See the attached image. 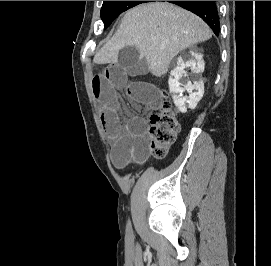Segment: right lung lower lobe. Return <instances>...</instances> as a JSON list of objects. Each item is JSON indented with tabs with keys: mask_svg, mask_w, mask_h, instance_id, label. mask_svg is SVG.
Segmentation results:
<instances>
[{
	"mask_svg": "<svg viewBox=\"0 0 271 266\" xmlns=\"http://www.w3.org/2000/svg\"><path fill=\"white\" fill-rule=\"evenodd\" d=\"M151 2V1H150ZM185 8L201 17L219 35L220 22L216 1H167Z\"/></svg>",
	"mask_w": 271,
	"mask_h": 266,
	"instance_id": "obj_1",
	"label": "right lung lower lobe"
}]
</instances>
